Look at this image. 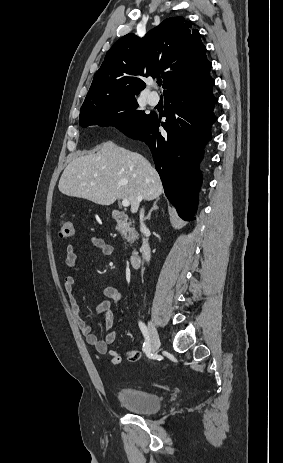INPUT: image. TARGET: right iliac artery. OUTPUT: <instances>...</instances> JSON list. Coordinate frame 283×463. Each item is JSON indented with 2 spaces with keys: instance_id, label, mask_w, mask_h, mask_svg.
<instances>
[{
  "instance_id": "1",
  "label": "right iliac artery",
  "mask_w": 283,
  "mask_h": 463,
  "mask_svg": "<svg viewBox=\"0 0 283 463\" xmlns=\"http://www.w3.org/2000/svg\"><path fill=\"white\" fill-rule=\"evenodd\" d=\"M139 327L142 331V334L145 338V342L143 344V351L144 352H147V351H150V339H149V334H148V329L146 327V325L143 323V322H139Z\"/></svg>"
}]
</instances>
